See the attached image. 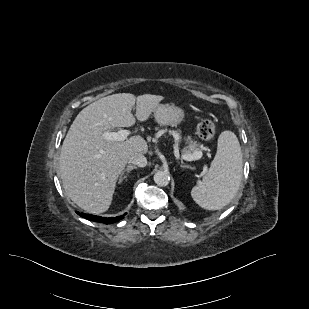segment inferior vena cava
I'll list each match as a JSON object with an SVG mask.
<instances>
[{
    "label": "inferior vena cava",
    "mask_w": 309,
    "mask_h": 309,
    "mask_svg": "<svg viewBox=\"0 0 309 309\" xmlns=\"http://www.w3.org/2000/svg\"><path fill=\"white\" fill-rule=\"evenodd\" d=\"M129 162L137 165L138 167H145L147 165V159L143 154L140 153H136L133 154L130 158H129Z\"/></svg>",
    "instance_id": "1"
}]
</instances>
